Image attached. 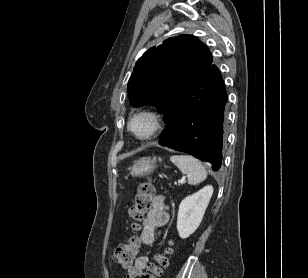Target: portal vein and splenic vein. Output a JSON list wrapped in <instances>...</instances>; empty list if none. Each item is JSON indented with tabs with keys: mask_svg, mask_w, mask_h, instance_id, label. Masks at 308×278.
<instances>
[{
	"mask_svg": "<svg viewBox=\"0 0 308 278\" xmlns=\"http://www.w3.org/2000/svg\"><path fill=\"white\" fill-rule=\"evenodd\" d=\"M183 181H184V178H183V179L178 180V183H182ZM175 184H177V182H175Z\"/></svg>",
	"mask_w": 308,
	"mask_h": 278,
	"instance_id": "1",
	"label": "portal vein and splenic vein"
}]
</instances>
